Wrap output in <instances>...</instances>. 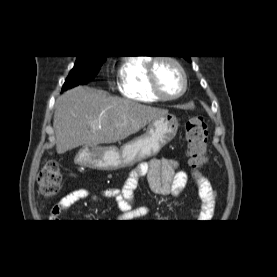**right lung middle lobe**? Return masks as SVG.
Listing matches in <instances>:
<instances>
[{
    "mask_svg": "<svg viewBox=\"0 0 277 277\" xmlns=\"http://www.w3.org/2000/svg\"><path fill=\"white\" fill-rule=\"evenodd\" d=\"M105 60L106 56H78L74 68L70 71V74L62 87V91L68 90L79 84H85L92 80L97 75Z\"/></svg>",
    "mask_w": 277,
    "mask_h": 277,
    "instance_id": "right-lung-middle-lobe-1",
    "label": "right lung middle lobe"
}]
</instances>
